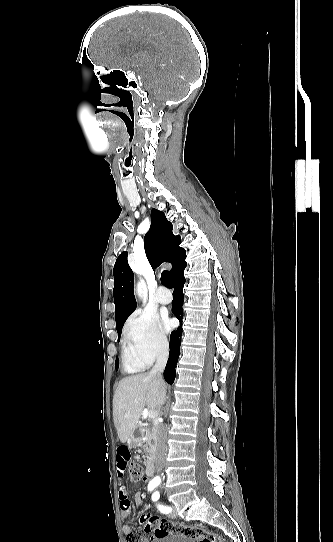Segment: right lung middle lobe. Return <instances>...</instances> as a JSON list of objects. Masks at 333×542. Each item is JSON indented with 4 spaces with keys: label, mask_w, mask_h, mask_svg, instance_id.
<instances>
[{
    "label": "right lung middle lobe",
    "mask_w": 333,
    "mask_h": 542,
    "mask_svg": "<svg viewBox=\"0 0 333 542\" xmlns=\"http://www.w3.org/2000/svg\"><path fill=\"white\" fill-rule=\"evenodd\" d=\"M126 320L123 321V323L120 325L119 328H117V332H118V337L120 339V336H121V331H122V327H123V324ZM116 369H118V359H116Z\"/></svg>",
    "instance_id": "1"
}]
</instances>
